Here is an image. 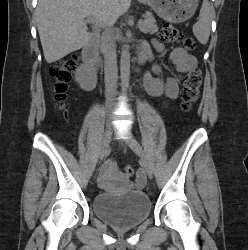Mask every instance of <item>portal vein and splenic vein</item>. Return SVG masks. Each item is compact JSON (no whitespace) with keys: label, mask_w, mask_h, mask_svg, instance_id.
<instances>
[{"label":"portal vein and splenic vein","mask_w":248,"mask_h":250,"mask_svg":"<svg viewBox=\"0 0 248 250\" xmlns=\"http://www.w3.org/2000/svg\"><path fill=\"white\" fill-rule=\"evenodd\" d=\"M87 21L90 22V23L99 24V22L94 17H92V16H88L87 17ZM141 21L142 20H139L138 24H141Z\"/></svg>","instance_id":"portal-vein-and-splenic-vein-1"}]
</instances>
